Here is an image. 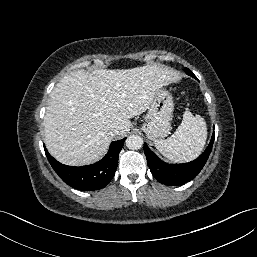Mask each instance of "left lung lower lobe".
I'll return each instance as SVG.
<instances>
[{"mask_svg": "<svg viewBox=\"0 0 257 257\" xmlns=\"http://www.w3.org/2000/svg\"><path fill=\"white\" fill-rule=\"evenodd\" d=\"M194 78H196L194 76ZM214 132L207 149L194 161L184 164H168L160 160L144 143L147 163L153 176L162 184L178 186L195 178L204 167L212 150Z\"/></svg>", "mask_w": 257, "mask_h": 257, "instance_id": "1", "label": "left lung lower lobe"}]
</instances>
